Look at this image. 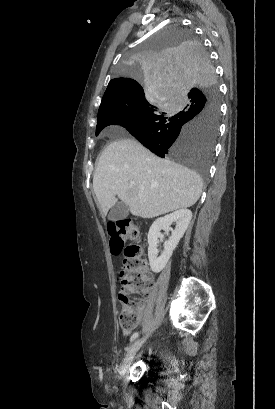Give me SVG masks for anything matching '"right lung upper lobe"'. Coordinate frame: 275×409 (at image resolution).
Returning a JSON list of instances; mask_svg holds the SVG:
<instances>
[{"label": "right lung upper lobe", "instance_id": "obj_1", "mask_svg": "<svg viewBox=\"0 0 275 409\" xmlns=\"http://www.w3.org/2000/svg\"><path fill=\"white\" fill-rule=\"evenodd\" d=\"M136 96H145L143 87L137 81L127 78L112 79L104 93L99 112L113 107L121 100Z\"/></svg>", "mask_w": 275, "mask_h": 409}]
</instances>
